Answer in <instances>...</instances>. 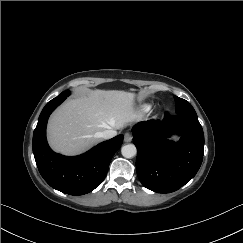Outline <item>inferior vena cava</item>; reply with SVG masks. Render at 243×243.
<instances>
[{
	"mask_svg": "<svg viewBox=\"0 0 243 243\" xmlns=\"http://www.w3.org/2000/svg\"><path fill=\"white\" fill-rule=\"evenodd\" d=\"M117 135V131L115 129H107L103 132L98 133V137L103 139H110Z\"/></svg>",
	"mask_w": 243,
	"mask_h": 243,
	"instance_id": "inferior-vena-cava-1",
	"label": "inferior vena cava"
}]
</instances>
